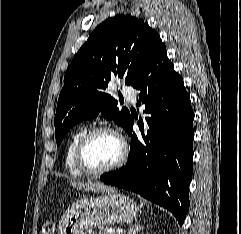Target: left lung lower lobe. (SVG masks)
<instances>
[{"mask_svg": "<svg viewBox=\"0 0 241 234\" xmlns=\"http://www.w3.org/2000/svg\"><path fill=\"white\" fill-rule=\"evenodd\" d=\"M140 91L137 105L141 136L132 134L130 115L125 130L132 136L126 166L103 174L108 185L133 191L170 210L182 225L189 209L193 168L194 113L181 76L167 58L166 47L151 60L132 85Z\"/></svg>", "mask_w": 241, "mask_h": 234, "instance_id": "0a47b994", "label": "left lung lower lobe"}]
</instances>
